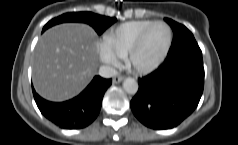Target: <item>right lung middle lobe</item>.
Masks as SVG:
<instances>
[{"label":"right lung middle lobe","mask_w":238,"mask_h":145,"mask_svg":"<svg viewBox=\"0 0 238 145\" xmlns=\"http://www.w3.org/2000/svg\"><path fill=\"white\" fill-rule=\"evenodd\" d=\"M117 21L116 18L97 15L91 12H73L65 13L57 18L50 20L44 27L42 32L46 29L64 22H82L92 26L97 34H102L109 26Z\"/></svg>","instance_id":"dd1d6c3e"}]
</instances>
